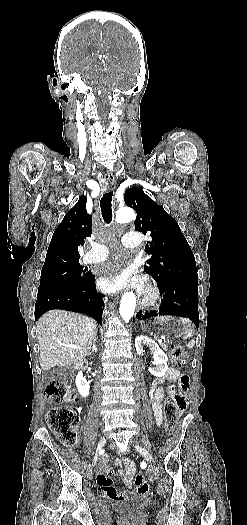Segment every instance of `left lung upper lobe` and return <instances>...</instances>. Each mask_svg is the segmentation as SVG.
<instances>
[{
	"mask_svg": "<svg viewBox=\"0 0 247 525\" xmlns=\"http://www.w3.org/2000/svg\"><path fill=\"white\" fill-rule=\"evenodd\" d=\"M124 199L137 212L135 230L152 237L145 271L157 283L197 285L195 258L176 220L138 187L127 190Z\"/></svg>",
	"mask_w": 247,
	"mask_h": 525,
	"instance_id": "1",
	"label": "left lung upper lobe"
}]
</instances>
